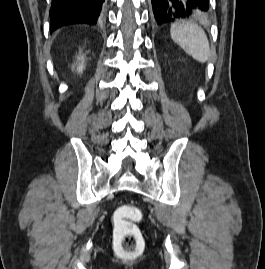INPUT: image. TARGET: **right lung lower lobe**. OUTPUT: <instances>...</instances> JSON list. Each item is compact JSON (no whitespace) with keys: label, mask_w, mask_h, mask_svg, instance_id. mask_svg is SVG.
<instances>
[{"label":"right lung lower lobe","mask_w":265,"mask_h":269,"mask_svg":"<svg viewBox=\"0 0 265 269\" xmlns=\"http://www.w3.org/2000/svg\"><path fill=\"white\" fill-rule=\"evenodd\" d=\"M105 0H52L50 31L77 23L96 24Z\"/></svg>","instance_id":"right-lung-lower-lobe-1"}]
</instances>
